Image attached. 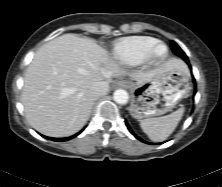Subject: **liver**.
I'll list each match as a JSON object with an SVG mask.
<instances>
[{"label":"liver","mask_w":222,"mask_h":187,"mask_svg":"<svg viewBox=\"0 0 222 187\" xmlns=\"http://www.w3.org/2000/svg\"><path fill=\"white\" fill-rule=\"evenodd\" d=\"M162 69L185 70L186 66L180 59H170L157 69L129 75L142 84ZM124 73L108 51L91 39L64 34L45 43L24 77L21 100L28 123L51 137L75 134L85 125L97 99L90 91L92 84H109Z\"/></svg>","instance_id":"1"}]
</instances>
